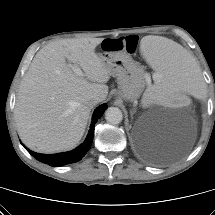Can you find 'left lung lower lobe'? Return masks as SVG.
Masks as SVG:
<instances>
[{"label": "left lung lower lobe", "instance_id": "1", "mask_svg": "<svg viewBox=\"0 0 215 215\" xmlns=\"http://www.w3.org/2000/svg\"><path fill=\"white\" fill-rule=\"evenodd\" d=\"M138 152L142 154L149 162L157 163L158 161L154 158V152L149 145L143 144L138 147Z\"/></svg>", "mask_w": 215, "mask_h": 215}]
</instances>
